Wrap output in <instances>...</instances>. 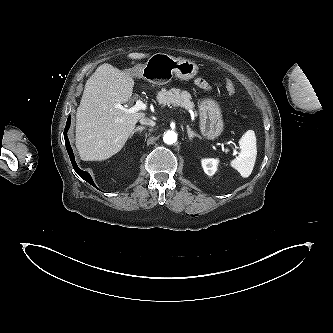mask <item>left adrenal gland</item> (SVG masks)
Listing matches in <instances>:
<instances>
[{
	"mask_svg": "<svg viewBox=\"0 0 333 333\" xmlns=\"http://www.w3.org/2000/svg\"><path fill=\"white\" fill-rule=\"evenodd\" d=\"M187 133H188V137L190 140H192L194 137H197L199 139H201V136L196 134L190 127L189 125H187Z\"/></svg>",
	"mask_w": 333,
	"mask_h": 333,
	"instance_id": "left-adrenal-gland-1",
	"label": "left adrenal gland"
}]
</instances>
